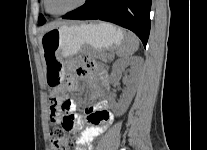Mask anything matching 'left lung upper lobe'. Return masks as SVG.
<instances>
[{"mask_svg": "<svg viewBox=\"0 0 207 150\" xmlns=\"http://www.w3.org/2000/svg\"><path fill=\"white\" fill-rule=\"evenodd\" d=\"M46 22L45 18L43 17V15H40L38 18V23L39 25H43Z\"/></svg>", "mask_w": 207, "mask_h": 150, "instance_id": "5c2ea615", "label": "left lung upper lobe"}]
</instances>
